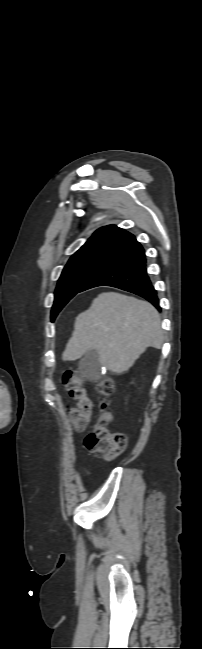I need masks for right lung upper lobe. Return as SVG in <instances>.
<instances>
[{
    "instance_id": "obj_1",
    "label": "right lung upper lobe",
    "mask_w": 202,
    "mask_h": 649,
    "mask_svg": "<svg viewBox=\"0 0 202 649\" xmlns=\"http://www.w3.org/2000/svg\"><path fill=\"white\" fill-rule=\"evenodd\" d=\"M139 245L134 235L114 225L104 226L94 232L87 242L73 255L86 253L122 254Z\"/></svg>"
}]
</instances>
